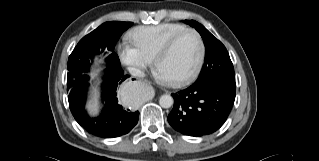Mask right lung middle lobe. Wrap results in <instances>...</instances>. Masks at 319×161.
<instances>
[{
	"label": "right lung middle lobe",
	"mask_w": 319,
	"mask_h": 161,
	"mask_svg": "<svg viewBox=\"0 0 319 161\" xmlns=\"http://www.w3.org/2000/svg\"><path fill=\"white\" fill-rule=\"evenodd\" d=\"M132 24V22H106L79 41L69 56L67 64V87L69 91L76 87L78 82L85 81L88 78L86 73L90 70L93 57L102 53L106 48L112 51L107 57V66L118 62L119 58L114 52L115 44L122 33Z\"/></svg>",
	"instance_id": "1"
}]
</instances>
